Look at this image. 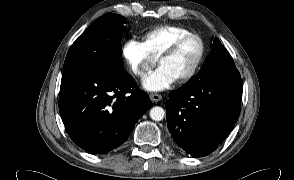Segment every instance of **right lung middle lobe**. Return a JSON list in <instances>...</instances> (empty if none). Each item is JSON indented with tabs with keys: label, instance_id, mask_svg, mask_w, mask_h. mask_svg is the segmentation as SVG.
Masks as SVG:
<instances>
[{
	"label": "right lung middle lobe",
	"instance_id": "dd1d6c3e",
	"mask_svg": "<svg viewBox=\"0 0 294 180\" xmlns=\"http://www.w3.org/2000/svg\"><path fill=\"white\" fill-rule=\"evenodd\" d=\"M126 19L108 13L98 18L70 47L62 77L80 71L126 74L121 57V39Z\"/></svg>",
	"mask_w": 294,
	"mask_h": 180
}]
</instances>
